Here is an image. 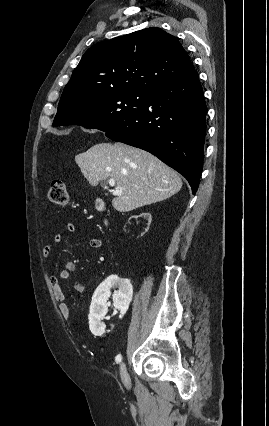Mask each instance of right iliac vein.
<instances>
[{"label":"right iliac vein","mask_w":269,"mask_h":426,"mask_svg":"<svg viewBox=\"0 0 269 426\" xmlns=\"http://www.w3.org/2000/svg\"><path fill=\"white\" fill-rule=\"evenodd\" d=\"M120 375H121V380H122L124 386L126 388H130L131 387V379H130V376L127 372L126 365H125L124 362L121 363V365H120Z\"/></svg>","instance_id":"1"}]
</instances>
